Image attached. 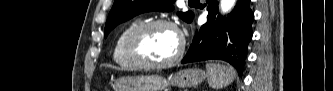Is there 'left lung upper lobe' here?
Returning a JSON list of instances; mask_svg holds the SVG:
<instances>
[{"mask_svg": "<svg viewBox=\"0 0 333 91\" xmlns=\"http://www.w3.org/2000/svg\"><path fill=\"white\" fill-rule=\"evenodd\" d=\"M174 2L175 0H115L105 25L104 37L106 38L109 32L117 25L140 13L147 11H171L174 9ZM178 15L186 22H191L194 17L191 11L179 12Z\"/></svg>", "mask_w": 333, "mask_h": 91, "instance_id": "5c2ea615", "label": "left lung upper lobe"}]
</instances>
